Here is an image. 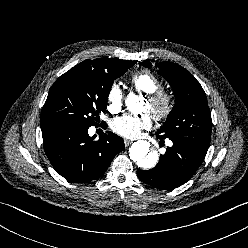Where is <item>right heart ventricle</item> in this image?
I'll return each mask as SVG.
<instances>
[{
  "instance_id": "right-heart-ventricle-1",
  "label": "right heart ventricle",
  "mask_w": 248,
  "mask_h": 248,
  "mask_svg": "<svg viewBox=\"0 0 248 248\" xmlns=\"http://www.w3.org/2000/svg\"><path fill=\"white\" fill-rule=\"evenodd\" d=\"M130 83L135 90L144 94H151L160 89L158 78L149 71H140L132 75Z\"/></svg>"
}]
</instances>
